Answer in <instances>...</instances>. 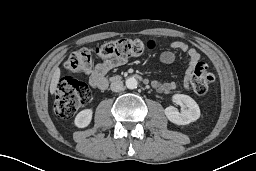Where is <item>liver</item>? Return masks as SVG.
Listing matches in <instances>:
<instances>
[{
  "mask_svg": "<svg viewBox=\"0 0 256 171\" xmlns=\"http://www.w3.org/2000/svg\"><path fill=\"white\" fill-rule=\"evenodd\" d=\"M59 79H60V69L58 67H55L53 75H52V79H51V83H50V93L54 94L57 85L59 83Z\"/></svg>",
  "mask_w": 256,
  "mask_h": 171,
  "instance_id": "6515ba94",
  "label": "liver"
}]
</instances>
